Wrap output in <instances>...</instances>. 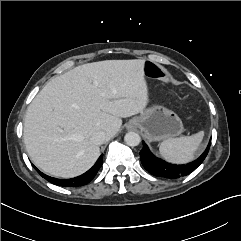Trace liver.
<instances>
[{
	"label": "liver",
	"mask_w": 241,
	"mask_h": 241,
	"mask_svg": "<svg viewBox=\"0 0 241 241\" xmlns=\"http://www.w3.org/2000/svg\"><path fill=\"white\" fill-rule=\"evenodd\" d=\"M144 60L87 63L52 78L27 108L23 139L31 161L44 173L73 178L90 169L100 155L90 137L106 140L122 120L148 103Z\"/></svg>",
	"instance_id": "obj_1"
}]
</instances>
